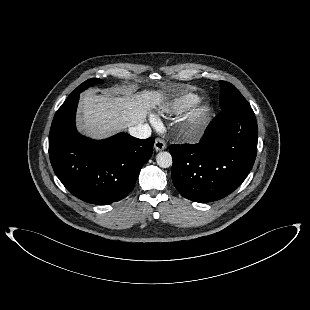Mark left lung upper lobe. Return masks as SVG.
<instances>
[{"label":"left lung upper lobe","mask_w":310,"mask_h":310,"mask_svg":"<svg viewBox=\"0 0 310 310\" xmlns=\"http://www.w3.org/2000/svg\"><path fill=\"white\" fill-rule=\"evenodd\" d=\"M220 83V107L221 110H231L247 105V101L231 83L219 81Z\"/></svg>","instance_id":"obj_1"}]
</instances>
